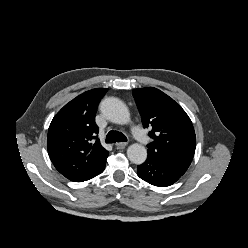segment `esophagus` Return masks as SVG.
I'll return each instance as SVG.
<instances>
[{"mask_svg": "<svg viewBox=\"0 0 248 248\" xmlns=\"http://www.w3.org/2000/svg\"><path fill=\"white\" fill-rule=\"evenodd\" d=\"M127 144V142H117L115 145L117 149H123Z\"/></svg>", "mask_w": 248, "mask_h": 248, "instance_id": "1", "label": "esophagus"}]
</instances>
